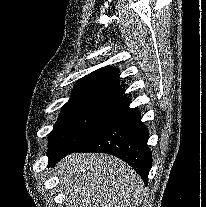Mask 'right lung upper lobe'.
Masks as SVG:
<instances>
[{"label":"right lung upper lobe","mask_w":206,"mask_h":207,"mask_svg":"<svg viewBox=\"0 0 206 207\" xmlns=\"http://www.w3.org/2000/svg\"><path fill=\"white\" fill-rule=\"evenodd\" d=\"M124 94L119 84V70L103 67L79 80L70 100L117 98Z\"/></svg>","instance_id":"obj_1"}]
</instances>
